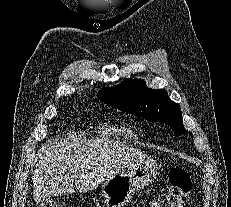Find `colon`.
<instances>
[{
  "instance_id": "5ec220e1",
  "label": "colon",
  "mask_w": 231,
  "mask_h": 207,
  "mask_svg": "<svg viewBox=\"0 0 231 207\" xmlns=\"http://www.w3.org/2000/svg\"><path fill=\"white\" fill-rule=\"evenodd\" d=\"M170 188L157 197L151 207H184L192 189L190 174L181 167H173L168 174ZM42 207H65L60 200L51 199Z\"/></svg>"
}]
</instances>
